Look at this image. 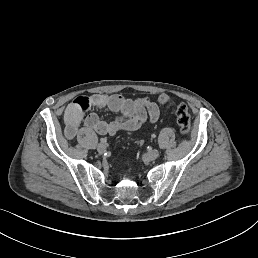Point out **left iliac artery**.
I'll return each instance as SVG.
<instances>
[{"label": "left iliac artery", "instance_id": "left-iliac-artery-1", "mask_svg": "<svg viewBox=\"0 0 258 258\" xmlns=\"http://www.w3.org/2000/svg\"><path fill=\"white\" fill-rule=\"evenodd\" d=\"M151 137H152V138H156L157 135H156V134H152Z\"/></svg>", "mask_w": 258, "mask_h": 258}]
</instances>
